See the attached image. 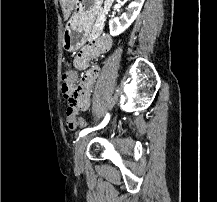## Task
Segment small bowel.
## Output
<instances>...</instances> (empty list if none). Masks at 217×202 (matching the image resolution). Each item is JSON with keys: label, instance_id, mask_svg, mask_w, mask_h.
Masks as SVG:
<instances>
[{"label": "small bowel", "instance_id": "obj_1", "mask_svg": "<svg viewBox=\"0 0 217 202\" xmlns=\"http://www.w3.org/2000/svg\"><path fill=\"white\" fill-rule=\"evenodd\" d=\"M111 47V37L107 34L100 35L96 39L92 40L86 47L82 48L74 59V66L77 69H83L86 66L87 57H99L108 52ZM99 72V67H93L86 71L81 83L84 95H90V87L94 83ZM85 106H95V101H85ZM66 116H76V118H78V113L66 114Z\"/></svg>", "mask_w": 217, "mask_h": 202}]
</instances>
